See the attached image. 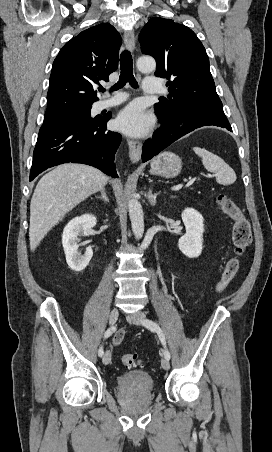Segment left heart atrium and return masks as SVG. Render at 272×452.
<instances>
[{
	"instance_id": "left-heart-atrium-1",
	"label": "left heart atrium",
	"mask_w": 272,
	"mask_h": 452,
	"mask_svg": "<svg viewBox=\"0 0 272 452\" xmlns=\"http://www.w3.org/2000/svg\"><path fill=\"white\" fill-rule=\"evenodd\" d=\"M153 118L139 103L125 107L115 119V128L131 136L145 134L152 126Z\"/></svg>"
}]
</instances>
